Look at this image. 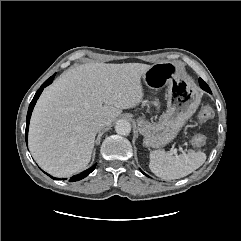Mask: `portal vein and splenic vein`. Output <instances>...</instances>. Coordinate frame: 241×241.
I'll use <instances>...</instances> for the list:
<instances>
[{
    "label": "portal vein and splenic vein",
    "mask_w": 241,
    "mask_h": 241,
    "mask_svg": "<svg viewBox=\"0 0 241 241\" xmlns=\"http://www.w3.org/2000/svg\"><path fill=\"white\" fill-rule=\"evenodd\" d=\"M171 154L176 155V154H177V149H176V148H175V149H172V150H171Z\"/></svg>",
    "instance_id": "obj_1"
}]
</instances>
